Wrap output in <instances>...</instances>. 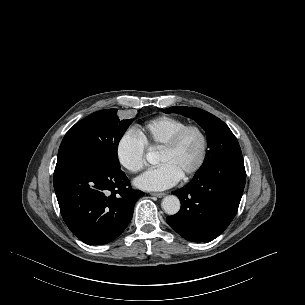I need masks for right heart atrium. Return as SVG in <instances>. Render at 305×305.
<instances>
[{
  "instance_id": "d8ad5b80",
  "label": "right heart atrium",
  "mask_w": 305,
  "mask_h": 305,
  "mask_svg": "<svg viewBox=\"0 0 305 305\" xmlns=\"http://www.w3.org/2000/svg\"><path fill=\"white\" fill-rule=\"evenodd\" d=\"M146 152L145 143L133 130L123 133L116 144V158L119 164L131 173L143 170Z\"/></svg>"
}]
</instances>
